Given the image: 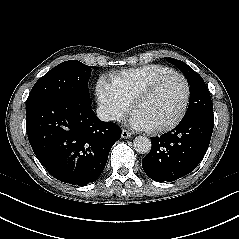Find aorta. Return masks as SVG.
<instances>
[{
	"instance_id": "aorta-1",
	"label": "aorta",
	"mask_w": 239,
	"mask_h": 239,
	"mask_svg": "<svg viewBox=\"0 0 239 239\" xmlns=\"http://www.w3.org/2000/svg\"><path fill=\"white\" fill-rule=\"evenodd\" d=\"M151 141L145 136H137L133 140V147L139 154H147L151 150Z\"/></svg>"
}]
</instances>
